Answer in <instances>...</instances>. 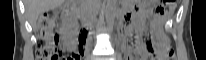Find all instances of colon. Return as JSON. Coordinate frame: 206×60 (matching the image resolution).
<instances>
[{
	"label": "colon",
	"mask_w": 206,
	"mask_h": 60,
	"mask_svg": "<svg viewBox=\"0 0 206 60\" xmlns=\"http://www.w3.org/2000/svg\"><path fill=\"white\" fill-rule=\"evenodd\" d=\"M164 5L159 7L156 12L163 15L171 11L176 3L174 0L163 1ZM37 46L36 57L38 60H78L79 54H73L71 57H63L58 49V37L54 20L47 14H41L37 27ZM81 50L83 49L86 36L80 35ZM147 49L153 59L170 60L174 56V52L165 38H161L159 42L148 40Z\"/></svg>",
	"instance_id": "colon-1"
}]
</instances>
